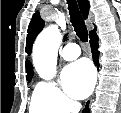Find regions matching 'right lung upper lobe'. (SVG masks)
Here are the masks:
<instances>
[{"label": "right lung upper lobe", "instance_id": "right-lung-upper-lobe-1", "mask_svg": "<svg viewBox=\"0 0 121 113\" xmlns=\"http://www.w3.org/2000/svg\"><path fill=\"white\" fill-rule=\"evenodd\" d=\"M78 4L84 19H87L88 13H89V6H90L88 0H78ZM43 27H44V21L41 19L39 12H36L33 15L32 20L28 27V35H27V41H26V52L28 54L31 53L32 44L36 36L39 34V32L42 30ZM95 30L96 28L90 31L89 34L94 32ZM26 72H27V78L33 77L34 71L29 61H26Z\"/></svg>", "mask_w": 121, "mask_h": 113}]
</instances>
